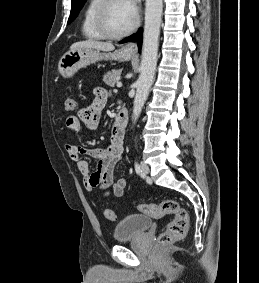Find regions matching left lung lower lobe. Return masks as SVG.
<instances>
[{
    "label": "left lung lower lobe",
    "instance_id": "obj_1",
    "mask_svg": "<svg viewBox=\"0 0 259 283\" xmlns=\"http://www.w3.org/2000/svg\"><path fill=\"white\" fill-rule=\"evenodd\" d=\"M142 33H143V31H142V29H140L137 34H134V35H132V36L126 38V39H123L122 41H120V43L138 41V47H139V51H140L141 50L142 39H143Z\"/></svg>",
    "mask_w": 259,
    "mask_h": 283
}]
</instances>
